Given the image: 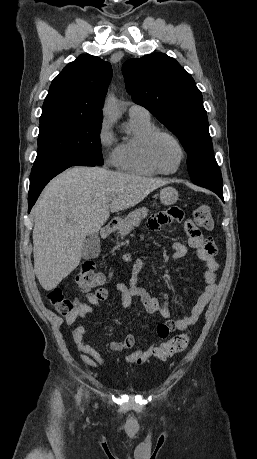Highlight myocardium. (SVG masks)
Returning <instances> with one entry per match:
<instances>
[{"label":"myocardium","instance_id":"1","mask_svg":"<svg viewBox=\"0 0 257 459\" xmlns=\"http://www.w3.org/2000/svg\"><path fill=\"white\" fill-rule=\"evenodd\" d=\"M160 137H167V138L171 139L176 144V146L178 147V149L180 151L181 157H180L179 163H178L177 167L172 171H166V170L162 169L158 165L156 160H155V157H154V145H155L156 141ZM144 152H145V157H146L148 163L150 164V166L154 170H156L158 173L164 174V175H172V174L177 173L180 170V168L182 167V165H183V163L185 161V158H186V151H185L184 146L180 142V140L175 135H173L172 133H170L168 131L160 130V129L154 130L147 137V139L145 141V145H144Z\"/></svg>","mask_w":257,"mask_h":459}]
</instances>
